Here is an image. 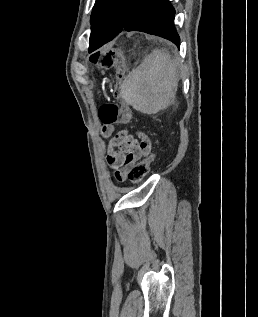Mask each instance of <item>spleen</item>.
I'll return each mask as SVG.
<instances>
[{
  "label": "spleen",
  "mask_w": 258,
  "mask_h": 317,
  "mask_svg": "<svg viewBox=\"0 0 258 317\" xmlns=\"http://www.w3.org/2000/svg\"><path fill=\"white\" fill-rule=\"evenodd\" d=\"M178 82L175 60L168 52L156 48L125 76L121 96L136 110L156 114L174 102Z\"/></svg>",
  "instance_id": "1"
}]
</instances>
